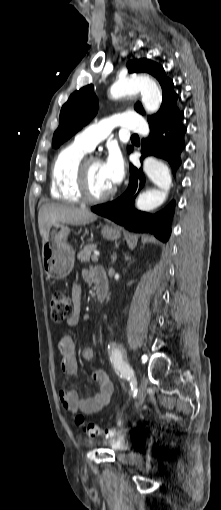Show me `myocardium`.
<instances>
[{
  "mask_svg": "<svg viewBox=\"0 0 221 510\" xmlns=\"http://www.w3.org/2000/svg\"><path fill=\"white\" fill-rule=\"evenodd\" d=\"M91 161H100L99 158L94 156H84L76 168L75 187L80 200L88 204H99L110 200L116 193L113 188L106 194L101 196H92L88 188V165Z\"/></svg>",
  "mask_w": 221,
  "mask_h": 510,
  "instance_id": "f54148a6",
  "label": "myocardium"
}]
</instances>
